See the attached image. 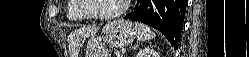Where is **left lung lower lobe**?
Returning a JSON list of instances; mask_svg holds the SVG:
<instances>
[{
  "label": "left lung lower lobe",
  "mask_w": 249,
  "mask_h": 57,
  "mask_svg": "<svg viewBox=\"0 0 249 57\" xmlns=\"http://www.w3.org/2000/svg\"><path fill=\"white\" fill-rule=\"evenodd\" d=\"M186 5L187 0H138L134 11L124 18L156 28L177 49Z\"/></svg>",
  "instance_id": "0a47b994"
}]
</instances>
